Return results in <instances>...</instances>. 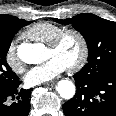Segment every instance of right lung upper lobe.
Listing matches in <instances>:
<instances>
[{"label":"right lung upper lobe","instance_id":"1","mask_svg":"<svg viewBox=\"0 0 116 116\" xmlns=\"http://www.w3.org/2000/svg\"><path fill=\"white\" fill-rule=\"evenodd\" d=\"M24 21L23 19H18L7 14H0V25H15L19 22Z\"/></svg>","mask_w":116,"mask_h":116}]
</instances>
